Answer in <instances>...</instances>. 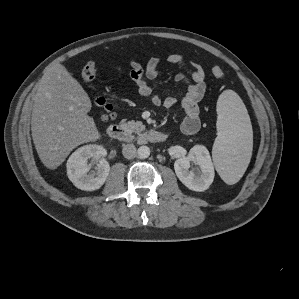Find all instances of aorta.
I'll return each mask as SVG.
<instances>
[{
	"mask_svg": "<svg viewBox=\"0 0 299 299\" xmlns=\"http://www.w3.org/2000/svg\"><path fill=\"white\" fill-rule=\"evenodd\" d=\"M138 157L141 159L148 158L150 155V148L148 146H140L137 150Z\"/></svg>",
	"mask_w": 299,
	"mask_h": 299,
	"instance_id": "1",
	"label": "aorta"
}]
</instances>
